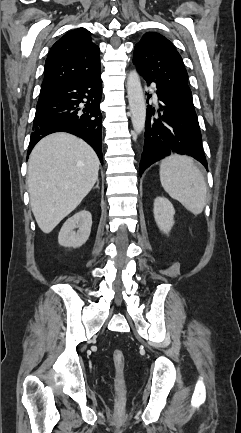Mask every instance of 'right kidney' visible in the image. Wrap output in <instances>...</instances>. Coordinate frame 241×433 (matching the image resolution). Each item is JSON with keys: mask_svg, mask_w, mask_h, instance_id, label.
<instances>
[{"mask_svg": "<svg viewBox=\"0 0 241 433\" xmlns=\"http://www.w3.org/2000/svg\"><path fill=\"white\" fill-rule=\"evenodd\" d=\"M91 226L92 215L89 211L82 210L74 214L63 224L58 235L59 244L64 247H81L90 236Z\"/></svg>", "mask_w": 241, "mask_h": 433, "instance_id": "right-kidney-1", "label": "right kidney"}]
</instances>
